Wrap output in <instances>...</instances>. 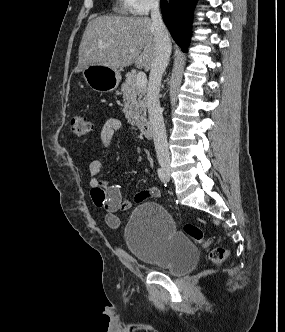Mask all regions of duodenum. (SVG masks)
Here are the masks:
<instances>
[{"instance_id":"410a0bca","label":"duodenum","mask_w":285,"mask_h":332,"mask_svg":"<svg viewBox=\"0 0 285 332\" xmlns=\"http://www.w3.org/2000/svg\"><path fill=\"white\" fill-rule=\"evenodd\" d=\"M140 132L145 138H151L153 135L152 125L149 122H145L140 126Z\"/></svg>"}]
</instances>
